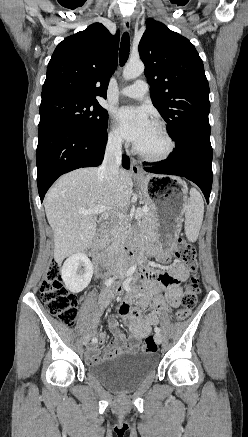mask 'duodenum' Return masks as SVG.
I'll return each instance as SVG.
<instances>
[{
  "instance_id": "duodenum-1",
  "label": "duodenum",
  "mask_w": 248,
  "mask_h": 437,
  "mask_svg": "<svg viewBox=\"0 0 248 437\" xmlns=\"http://www.w3.org/2000/svg\"><path fill=\"white\" fill-rule=\"evenodd\" d=\"M110 230L109 225H105L102 231L96 236L92 246H91V256L93 257L95 263L98 266V273L105 274L115 270L118 265H126L129 263L136 255V249L133 245L127 244L124 248V254L120 261H116L110 258L103 249L104 240L106 235ZM152 253H155L154 248L151 249Z\"/></svg>"
}]
</instances>
